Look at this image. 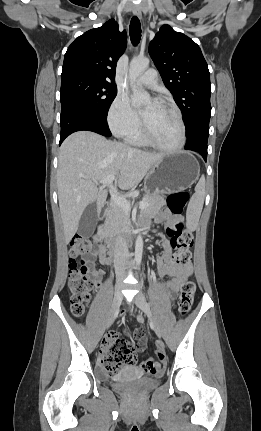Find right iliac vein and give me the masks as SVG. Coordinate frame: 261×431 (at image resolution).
Segmentation results:
<instances>
[{
  "mask_svg": "<svg viewBox=\"0 0 261 431\" xmlns=\"http://www.w3.org/2000/svg\"><path fill=\"white\" fill-rule=\"evenodd\" d=\"M121 289H122V282H121V279H119L117 281L116 288H115L114 299H113L112 307H111L108 322H107V328L111 325L112 321L118 314V311L122 302Z\"/></svg>",
  "mask_w": 261,
  "mask_h": 431,
  "instance_id": "63e3f726",
  "label": "right iliac vein"
}]
</instances>
